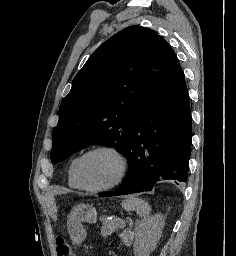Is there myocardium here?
Wrapping results in <instances>:
<instances>
[{"mask_svg":"<svg viewBox=\"0 0 236 256\" xmlns=\"http://www.w3.org/2000/svg\"><path fill=\"white\" fill-rule=\"evenodd\" d=\"M102 151H107L113 153L120 164V170L118 176L109 184L101 186V187H89L86 185L84 182L83 176H82V163L84 159L93 153L96 152H102ZM128 172V159L125 155V153L117 146L112 145V144H103V145H98L96 147H93L87 151H85L83 154L80 155L77 164H76V177L78 180L79 185L81 186L82 189L91 192V193H100V192H105L108 190H111L121 184L123 180L125 179L126 175Z\"/></svg>","mask_w":236,"mask_h":256,"instance_id":"f54148a6","label":"myocardium"}]
</instances>
